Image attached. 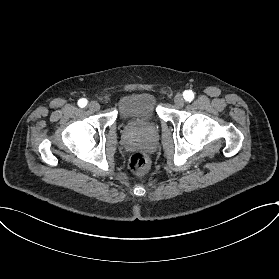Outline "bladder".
Returning a JSON list of instances; mask_svg holds the SVG:
<instances>
[{
  "label": "bladder",
  "mask_w": 279,
  "mask_h": 279,
  "mask_svg": "<svg viewBox=\"0 0 279 279\" xmlns=\"http://www.w3.org/2000/svg\"><path fill=\"white\" fill-rule=\"evenodd\" d=\"M158 111L155 95L150 92H139L124 98L117 108L119 123L136 119H149L153 122Z\"/></svg>",
  "instance_id": "1"
}]
</instances>
